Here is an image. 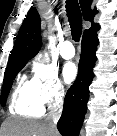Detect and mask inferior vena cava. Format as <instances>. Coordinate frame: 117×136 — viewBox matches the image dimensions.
<instances>
[{
    "label": "inferior vena cava",
    "instance_id": "inferior-vena-cava-1",
    "mask_svg": "<svg viewBox=\"0 0 117 136\" xmlns=\"http://www.w3.org/2000/svg\"><path fill=\"white\" fill-rule=\"evenodd\" d=\"M64 92L62 91L61 94H60V97L58 98L57 102H56V105H54L48 116H47V119H46V125L49 129V131L51 133H54L56 130V124L61 116V112H62V96H63ZM53 135V134H52Z\"/></svg>",
    "mask_w": 117,
    "mask_h": 136
}]
</instances>
